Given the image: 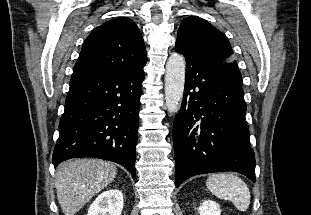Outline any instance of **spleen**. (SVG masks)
I'll return each mask as SVG.
<instances>
[{"instance_id": "3e777b00", "label": "spleen", "mask_w": 311, "mask_h": 215, "mask_svg": "<svg viewBox=\"0 0 311 215\" xmlns=\"http://www.w3.org/2000/svg\"><path fill=\"white\" fill-rule=\"evenodd\" d=\"M207 188L218 198L231 201L239 211H246L250 205V191L247 184L232 173L212 174L206 181Z\"/></svg>"}]
</instances>
